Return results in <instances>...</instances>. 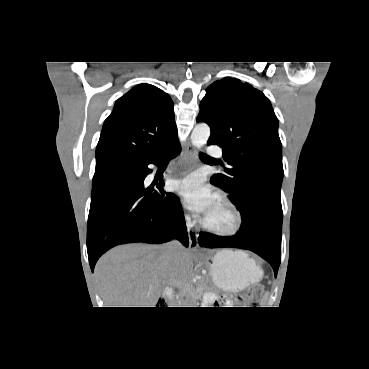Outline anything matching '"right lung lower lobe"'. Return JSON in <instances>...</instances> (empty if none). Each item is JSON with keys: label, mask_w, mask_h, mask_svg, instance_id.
I'll use <instances>...</instances> for the list:
<instances>
[{"label": "right lung lower lobe", "mask_w": 369, "mask_h": 369, "mask_svg": "<svg viewBox=\"0 0 369 369\" xmlns=\"http://www.w3.org/2000/svg\"><path fill=\"white\" fill-rule=\"evenodd\" d=\"M180 150L177 140L171 142L154 155L124 162L93 185L87 224V250L92 271L99 257L119 244H159L175 235L188 247L179 198L163 190V180L157 185L144 186L145 177L152 172L147 166L167 164Z\"/></svg>", "instance_id": "98d812e1"}]
</instances>
